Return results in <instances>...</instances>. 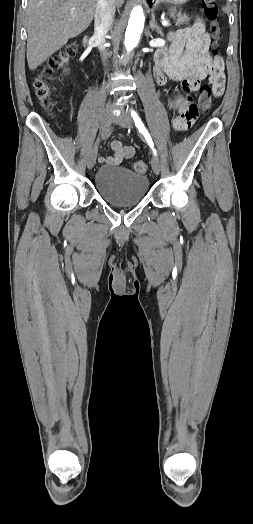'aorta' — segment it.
Listing matches in <instances>:
<instances>
[{
	"mask_svg": "<svg viewBox=\"0 0 253 524\" xmlns=\"http://www.w3.org/2000/svg\"><path fill=\"white\" fill-rule=\"evenodd\" d=\"M144 14L140 6L133 8L125 33V47L131 51L139 42L144 28Z\"/></svg>",
	"mask_w": 253,
	"mask_h": 524,
	"instance_id": "1",
	"label": "aorta"
}]
</instances>
